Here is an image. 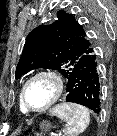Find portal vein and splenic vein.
I'll return each mask as SVG.
<instances>
[{
	"label": "portal vein and splenic vein",
	"instance_id": "obj_1",
	"mask_svg": "<svg viewBox=\"0 0 117 136\" xmlns=\"http://www.w3.org/2000/svg\"><path fill=\"white\" fill-rule=\"evenodd\" d=\"M51 136H57L55 132H51Z\"/></svg>",
	"mask_w": 117,
	"mask_h": 136
}]
</instances>
